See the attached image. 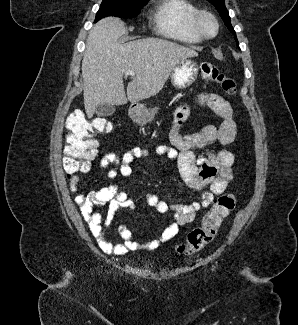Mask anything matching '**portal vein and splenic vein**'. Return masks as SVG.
Instances as JSON below:
<instances>
[{"instance_id": "1", "label": "portal vein and splenic vein", "mask_w": 298, "mask_h": 325, "mask_svg": "<svg viewBox=\"0 0 298 325\" xmlns=\"http://www.w3.org/2000/svg\"><path fill=\"white\" fill-rule=\"evenodd\" d=\"M124 74H126V76H135L134 70H124Z\"/></svg>"}]
</instances>
